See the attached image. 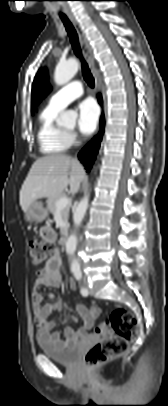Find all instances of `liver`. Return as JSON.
Returning <instances> with one entry per match:
<instances>
[{
  "mask_svg": "<svg viewBox=\"0 0 168 406\" xmlns=\"http://www.w3.org/2000/svg\"><path fill=\"white\" fill-rule=\"evenodd\" d=\"M81 164L67 155L52 154L38 158L20 190V206L26 212L38 199L59 196L69 185L75 194L84 179Z\"/></svg>",
  "mask_w": 168,
  "mask_h": 406,
  "instance_id": "liver-1",
  "label": "liver"
}]
</instances>
